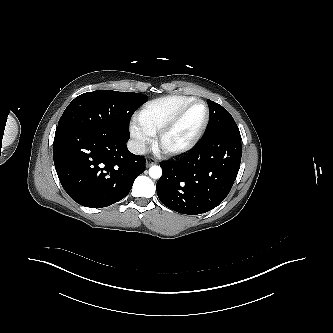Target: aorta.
I'll return each mask as SVG.
<instances>
[{
  "instance_id": "aorta-1",
  "label": "aorta",
  "mask_w": 333,
  "mask_h": 333,
  "mask_svg": "<svg viewBox=\"0 0 333 333\" xmlns=\"http://www.w3.org/2000/svg\"><path fill=\"white\" fill-rule=\"evenodd\" d=\"M149 176L153 179H159L162 176V169L160 166L154 165L149 168Z\"/></svg>"
}]
</instances>
